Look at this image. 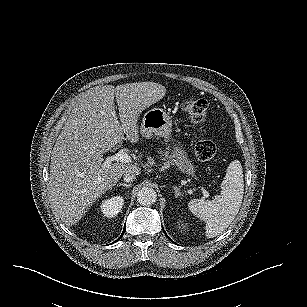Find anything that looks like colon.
Instances as JSON below:
<instances>
[{
  "mask_svg": "<svg viewBox=\"0 0 307 307\" xmlns=\"http://www.w3.org/2000/svg\"><path fill=\"white\" fill-rule=\"evenodd\" d=\"M182 110L193 123L199 125L207 116L208 102L199 97H190L182 103ZM194 152L198 160L209 161L216 154V145L212 140L202 138L197 141Z\"/></svg>",
  "mask_w": 307,
  "mask_h": 307,
  "instance_id": "obj_1",
  "label": "colon"
}]
</instances>
